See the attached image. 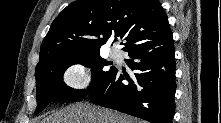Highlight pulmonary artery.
Instances as JSON below:
<instances>
[{
	"label": "pulmonary artery",
	"instance_id": "1",
	"mask_svg": "<svg viewBox=\"0 0 221 123\" xmlns=\"http://www.w3.org/2000/svg\"><path fill=\"white\" fill-rule=\"evenodd\" d=\"M112 56L114 58H119L120 57V53L118 51L114 50V51H112Z\"/></svg>",
	"mask_w": 221,
	"mask_h": 123
}]
</instances>
